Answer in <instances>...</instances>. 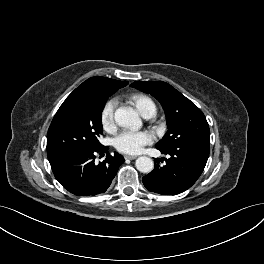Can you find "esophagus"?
<instances>
[{
  "mask_svg": "<svg viewBox=\"0 0 264 264\" xmlns=\"http://www.w3.org/2000/svg\"><path fill=\"white\" fill-rule=\"evenodd\" d=\"M125 159H129V160H134L137 158V156H134V155H125L124 156Z\"/></svg>",
  "mask_w": 264,
  "mask_h": 264,
  "instance_id": "esophagus-1",
  "label": "esophagus"
}]
</instances>
